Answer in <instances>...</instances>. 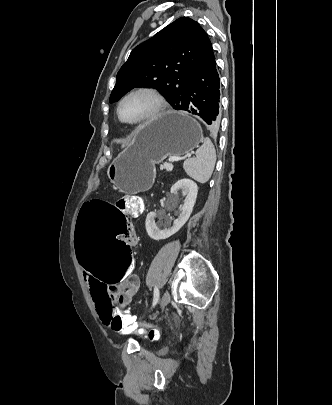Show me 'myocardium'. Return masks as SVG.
<instances>
[{
	"mask_svg": "<svg viewBox=\"0 0 332 405\" xmlns=\"http://www.w3.org/2000/svg\"><path fill=\"white\" fill-rule=\"evenodd\" d=\"M138 93H146V94L151 95L155 100V107L145 117L140 118L135 121H127V120L123 119V117L121 115V106L128 97H130L134 94H138ZM165 109H166L165 98L157 89H155L153 87H149V86H140V87L130 90L119 100L117 109H116V113H117L118 119L122 123H124L126 125L134 126V125L145 124V123H148V122H151V121L157 119L164 112Z\"/></svg>",
	"mask_w": 332,
	"mask_h": 405,
	"instance_id": "1",
	"label": "myocardium"
}]
</instances>
